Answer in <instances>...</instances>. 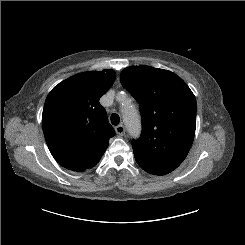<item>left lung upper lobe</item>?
Segmentation results:
<instances>
[{
	"instance_id": "5c2ea615",
	"label": "left lung upper lobe",
	"mask_w": 245,
	"mask_h": 245,
	"mask_svg": "<svg viewBox=\"0 0 245 245\" xmlns=\"http://www.w3.org/2000/svg\"><path fill=\"white\" fill-rule=\"evenodd\" d=\"M120 81L139 103L142 115V135L132 141L136 162L142 169L175 170L194 139V94L173 72L150 66L125 68Z\"/></svg>"
}]
</instances>
